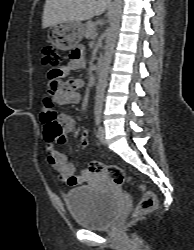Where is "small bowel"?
Instances as JSON below:
<instances>
[{
	"label": "small bowel",
	"mask_w": 194,
	"mask_h": 250,
	"mask_svg": "<svg viewBox=\"0 0 194 250\" xmlns=\"http://www.w3.org/2000/svg\"><path fill=\"white\" fill-rule=\"evenodd\" d=\"M85 65L84 58H70L69 63L62 67L60 71L67 72L82 69ZM84 87V81L81 79H71L66 82L58 77L50 76L47 83L49 100L52 104L67 105L75 104L80 100L79 90ZM44 124V151L48 163L58 172L60 178L70 187H75L87 181L91 174L88 170H83L80 174H75L74 164L67 157L55 148V141H64L65 135L72 132L75 128V119L69 113H56L51 107H46L41 115ZM81 138L88 136L83 134Z\"/></svg>",
	"instance_id": "small-bowel-1"
}]
</instances>
